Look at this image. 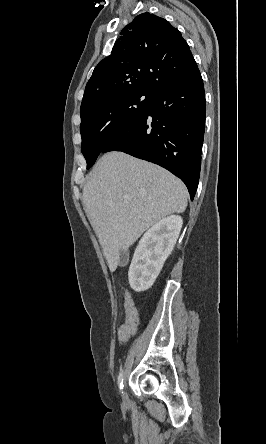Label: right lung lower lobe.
<instances>
[{"label":"right lung lower lobe","instance_id":"1","mask_svg":"<svg viewBox=\"0 0 266 444\" xmlns=\"http://www.w3.org/2000/svg\"><path fill=\"white\" fill-rule=\"evenodd\" d=\"M205 92L199 69L154 93L149 111L117 134L102 153L122 151L164 167L187 186L193 200L205 130Z\"/></svg>","mask_w":266,"mask_h":444}]
</instances>
